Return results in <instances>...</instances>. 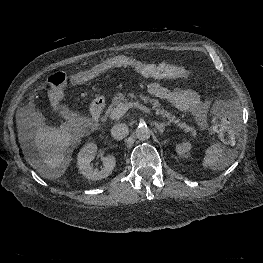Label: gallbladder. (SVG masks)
Listing matches in <instances>:
<instances>
[{
  "instance_id": "obj_1",
  "label": "gallbladder",
  "mask_w": 263,
  "mask_h": 263,
  "mask_svg": "<svg viewBox=\"0 0 263 263\" xmlns=\"http://www.w3.org/2000/svg\"><path fill=\"white\" fill-rule=\"evenodd\" d=\"M60 115L62 117H64L67 120H74V116L72 115V113L69 111L68 108H66L65 106H61L59 109Z\"/></svg>"
}]
</instances>
